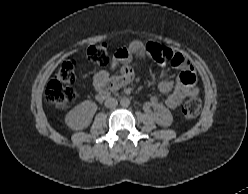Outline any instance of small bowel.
Segmentation results:
<instances>
[{
	"mask_svg": "<svg viewBox=\"0 0 248 194\" xmlns=\"http://www.w3.org/2000/svg\"><path fill=\"white\" fill-rule=\"evenodd\" d=\"M158 47L156 43H143L140 41L133 42L128 48L123 47L115 51L113 60L108 69L98 71L93 79V89L99 94L115 91L122 86L132 82L137 78L133 69L129 66L133 56L141 55L148 47ZM149 52V51H148ZM171 64L181 69V73L175 81L163 80L159 83V90L167 94L165 106L169 109L177 108L180 103L187 97L198 95L196 87V75L194 68L187 58L175 54ZM119 72L118 75L113 73ZM148 107L154 112L159 110V103L155 99L148 102Z\"/></svg>",
	"mask_w": 248,
	"mask_h": 194,
	"instance_id": "obj_1",
	"label": "small bowel"
}]
</instances>
